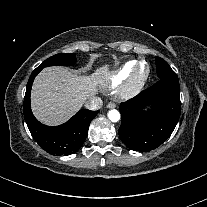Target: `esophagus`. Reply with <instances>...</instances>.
<instances>
[{
	"label": "esophagus",
	"mask_w": 207,
	"mask_h": 207,
	"mask_svg": "<svg viewBox=\"0 0 207 207\" xmlns=\"http://www.w3.org/2000/svg\"><path fill=\"white\" fill-rule=\"evenodd\" d=\"M115 107H116V104L113 102H110L107 104V108H109V109H114Z\"/></svg>",
	"instance_id": "1"
}]
</instances>
